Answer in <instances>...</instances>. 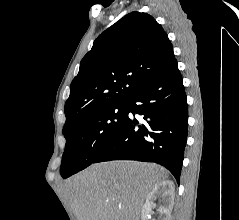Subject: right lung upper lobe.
<instances>
[{
    "label": "right lung upper lobe",
    "instance_id": "right-lung-upper-lobe-1",
    "mask_svg": "<svg viewBox=\"0 0 239 220\" xmlns=\"http://www.w3.org/2000/svg\"><path fill=\"white\" fill-rule=\"evenodd\" d=\"M176 59L164 29L132 12L105 30L80 63L65 103L64 129L103 107L124 103Z\"/></svg>",
    "mask_w": 239,
    "mask_h": 220
}]
</instances>
